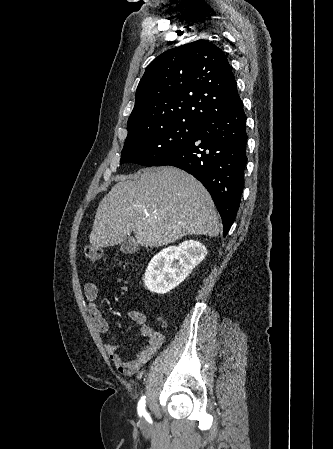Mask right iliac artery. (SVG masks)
I'll return each instance as SVG.
<instances>
[{"label":"right iliac artery","instance_id":"obj_1","mask_svg":"<svg viewBox=\"0 0 333 449\" xmlns=\"http://www.w3.org/2000/svg\"><path fill=\"white\" fill-rule=\"evenodd\" d=\"M145 403H146L145 396H142L140 401H139V403H138V407H137L138 414H139L140 417L147 415V412H146V409H145V406H146Z\"/></svg>","mask_w":333,"mask_h":449}]
</instances>
